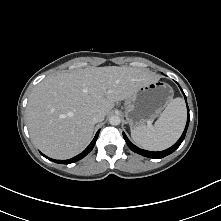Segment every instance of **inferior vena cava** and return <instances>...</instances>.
Instances as JSON below:
<instances>
[{"label":"inferior vena cava","instance_id":"602c4592","mask_svg":"<svg viewBox=\"0 0 221 221\" xmlns=\"http://www.w3.org/2000/svg\"><path fill=\"white\" fill-rule=\"evenodd\" d=\"M104 117H105V115H104L103 113H96V114L93 116L92 121H93L94 123L101 122V121L104 120Z\"/></svg>","mask_w":221,"mask_h":221}]
</instances>
